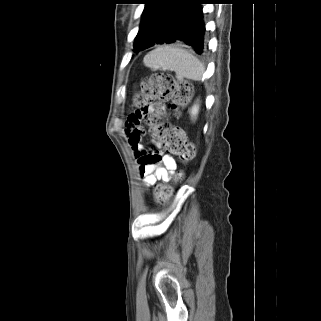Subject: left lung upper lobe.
<instances>
[{
  "mask_svg": "<svg viewBox=\"0 0 321 321\" xmlns=\"http://www.w3.org/2000/svg\"><path fill=\"white\" fill-rule=\"evenodd\" d=\"M145 8L135 39L136 52L157 44L164 35L167 22L179 0H142Z\"/></svg>",
  "mask_w": 321,
  "mask_h": 321,
  "instance_id": "left-lung-upper-lobe-1",
  "label": "left lung upper lobe"
}]
</instances>
